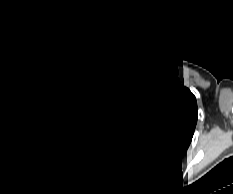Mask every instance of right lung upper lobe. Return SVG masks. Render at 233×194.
Masks as SVG:
<instances>
[{
	"instance_id": "right-lung-upper-lobe-1",
	"label": "right lung upper lobe",
	"mask_w": 233,
	"mask_h": 194,
	"mask_svg": "<svg viewBox=\"0 0 233 194\" xmlns=\"http://www.w3.org/2000/svg\"><path fill=\"white\" fill-rule=\"evenodd\" d=\"M83 101L73 99L61 103L56 110L55 137L58 145L79 159L89 157L96 142L83 119Z\"/></svg>"
}]
</instances>
